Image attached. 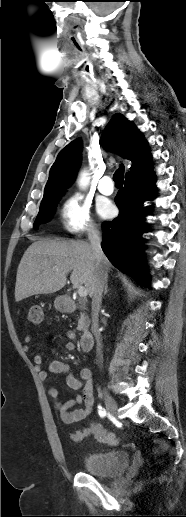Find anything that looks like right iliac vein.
Returning <instances> with one entry per match:
<instances>
[{"label": "right iliac vein", "instance_id": "63e3f726", "mask_svg": "<svg viewBox=\"0 0 186 517\" xmlns=\"http://www.w3.org/2000/svg\"><path fill=\"white\" fill-rule=\"evenodd\" d=\"M104 401H105V407L109 414L112 416L118 415V406L116 401L112 396H110L107 392H104Z\"/></svg>", "mask_w": 186, "mask_h": 517}]
</instances>
